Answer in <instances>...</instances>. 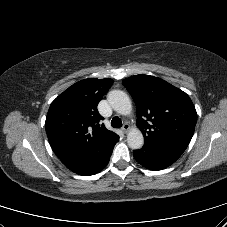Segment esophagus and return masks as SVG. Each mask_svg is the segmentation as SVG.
Masks as SVG:
<instances>
[{
  "mask_svg": "<svg viewBox=\"0 0 227 227\" xmlns=\"http://www.w3.org/2000/svg\"><path fill=\"white\" fill-rule=\"evenodd\" d=\"M130 130V125L129 124H124L123 127H122V131L124 133H127L128 131Z\"/></svg>",
  "mask_w": 227,
  "mask_h": 227,
  "instance_id": "obj_1",
  "label": "esophagus"
}]
</instances>
